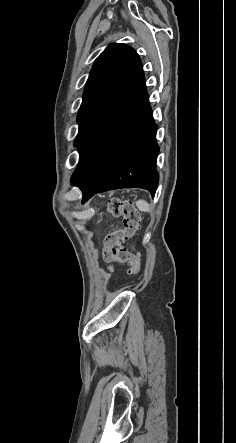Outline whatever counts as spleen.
Here are the masks:
<instances>
[{"label": "spleen", "instance_id": "1", "mask_svg": "<svg viewBox=\"0 0 236 443\" xmlns=\"http://www.w3.org/2000/svg\"><path fill=\"white\" fill-rule=\"evenodd\" d=\"M136 205H137L138 209L142 212H149L151 209L150 205L145 200H138L136 202Z\"/></svg>", "mask_w": 236, "mask_h": 443}]
</instances>
